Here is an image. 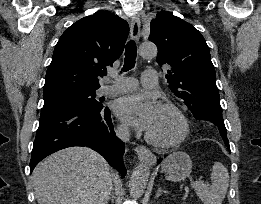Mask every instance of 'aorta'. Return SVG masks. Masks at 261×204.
Returning <instances> with one entry per match:
<instances>
[{
    "instance_id": "762f6f07",
    "label": "aorta",
    "mask_w": 261,
    "mask_h": 204,
    "mask_svg": "<svg viewBox=\"0 0 261 204\" xmlns=\"http://www.w3.org/2000/svg\"><path fill=\"white\" fill-rule=\"evenodd\" d=\"M139 54L143 58H153L157 55V47L154 44H142L139 47ZM150 175V167L146 163L139 164L133 171L129 187L134 198H139L146 188Z\"/></svg>"
}]
</instances>
